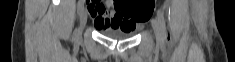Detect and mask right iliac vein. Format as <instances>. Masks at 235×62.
I'll use <instances>...</instances> for the list:
<instances>
[{
	"label": "right iliac vein",
	"mask_w": 235,
	"mask_h": 62,
	"mask_svg": "<svg viewBox=\"0 0 235 62\" xmlns=\"http://www.w3.org/2000/svg\"><path fill=\"white\" fill-rule=\"evenodd\" d=\"M86 22H87V13L85 10H83L81 12V15H80V22H79V27L78 29L76 30V33H75V38L76 39H79L82 35V31L86 25Z\"/></svg>",
	"instance_id": "63e3f726"
}]
</instances>
